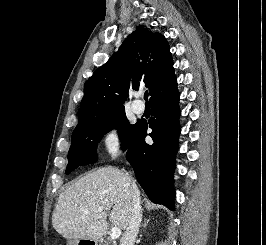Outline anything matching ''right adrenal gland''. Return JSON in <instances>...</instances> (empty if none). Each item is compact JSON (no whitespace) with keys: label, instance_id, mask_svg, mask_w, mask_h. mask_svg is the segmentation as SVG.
I'll list each match as a JSON object with an SVG mask.
<instances>
[{"label":"right adrenal gland","instance_id":"obj_1","mask_svg":"<svg viewBox=\"0 0 266 245\" xmlns=\"http://www.w3.org/2000/svg\"><path fill=\"white\" fill-rule=\"evenodd\" d=\"M145 223H148L147 219H145Z\"/></svg>","mask_w":266,"mask_h":245}]
</instances>
